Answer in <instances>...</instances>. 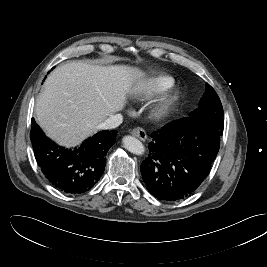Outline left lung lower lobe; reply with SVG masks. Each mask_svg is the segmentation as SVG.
<instances>
[{"instance_id": "left-lung-lower-lobe-1", "label": "left lung lower lobe", "mask_w": 267, "mask_h": 267, "mask_svg": "<svg viewBox=\"0 0 267 267\" xmlns=\"http://www.w3.org/2000/svg\"><path fill=\"white\" fill-rule=\"evenodd\" d=\"M223 130L206 120L184 117L151 135L141 174L159 200L176 201L192 194L207 177L220 147Z\"/></svg>"}]
</instances>
